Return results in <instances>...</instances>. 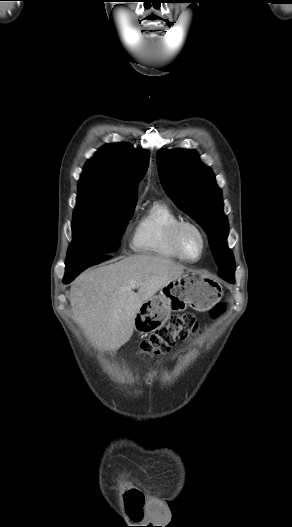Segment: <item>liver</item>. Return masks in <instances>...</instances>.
<instances>
[{
    "label": "liver",
    "mask_w": 292,
    "mask_h": 527,
    "mask_svg": "<svg viewBox=\"0 0 292 527\" xmlns=\"http://www.w3.org/2000/svg\"><path fill=\"white\" fill-rule=\"evenodd\" d=\"M184 269L171 259L139 254L88 270L70 289L73 319L93 345L115 352L132 337L140 306L181 277ZM132 282L138 285L137 293Z\"/></svg>",
    "instance_id": "1"
}]
</instances>
